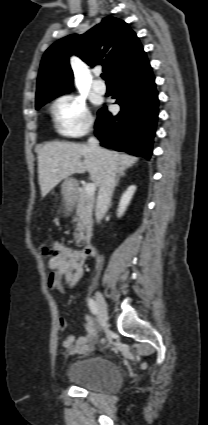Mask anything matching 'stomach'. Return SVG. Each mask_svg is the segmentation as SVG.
<instances>
[{
	"instance_id": "0dacf381",
	"label": "stomach",
	"mask_w": 208,
	"mask_h": 425,
	"mask_svg": "<svg viewBox=\"0 0 208 425\" xmlns=\"http://www.w3.org/2000/svg\"><path fill=\"white\" fill-rule=\"evenodd\" d=\"M78 183L74 178H66L61 185L62 195L65 201H71L74 199L77 193Z\"/></svg>"
}]
</instances>
